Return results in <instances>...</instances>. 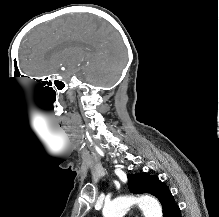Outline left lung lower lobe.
Masks as SVG:
<instances>
[{"mask_svg": "<svg viewBox=\"0 0 219 217\" xmlns=\"http://www.w3.org/2000/svg\"><path fill=\"white\" fill-rule=\"evenodd\" d=\"M164 217H181L180 209L175 202L170 205Z\"/></svg>", "mask_w": 219, "mask_h": 217, "instance_id": "0a47b994", "label": "left lung lower lobe"}]
</instances>
